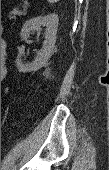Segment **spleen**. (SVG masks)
<instances>
[{"instance_id": "1", "label": "spleen", "mask_w": 109, "mask_h": 170, "mask_svg": "<svg viewBox=\"0 0 109 170\" xmlns=\"http://www.w3.org/2000/svg\"><path fill=\"white\" fill-rule=\"evenodd\" d=\"M50 3L58 2L59 0H47Z\"/></svg>"}]
</instances>
